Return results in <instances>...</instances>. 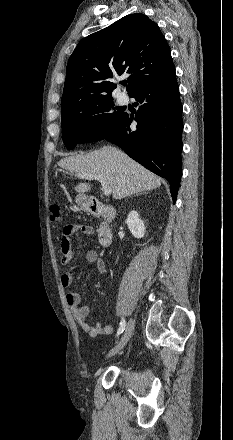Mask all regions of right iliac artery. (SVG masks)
<instances>
[{"label":"right iliac artery","instance_id":"82829eb1","mask_svg":"<svg viewBox=\"0 0 233 440\" xmlns=\"http://www.w3.org/2000/svg\"><path fill=\"white\" fill-rule=\"evenodd\" d=\"M125 326H126V322H125L124 319H122L121 322H120V327H119V329L117 331V336H119L121 333H123V331L125 329Z\"/></svg>","mask_w":233,"mask_h":440}]
</instances>
